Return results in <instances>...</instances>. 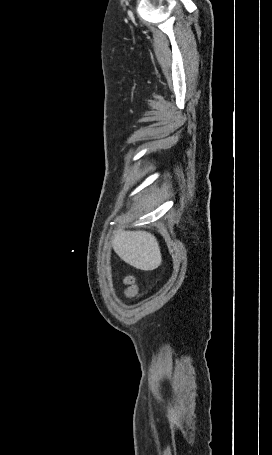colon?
<instances>
[{"instance_id": "colon-1", "label": "colon", "mask_w": 272, "mask_h": 455, "mask_svg": "<svg viewBox=\"0 0 272 455\" xmlns=\"http://www.w3.org/2000/svg\"><path fill=\"white\" fill-rule=\"evenodd\" d=\"M125 283L127 285L126 294L128 296H134L135 293H136V287L134 285L133 278L132 277H127L125 279Z\"/></svg>"}]
</instances>
